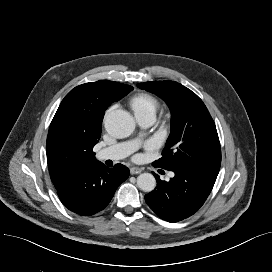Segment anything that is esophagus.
<instances>
[{"instance_id":"obj_1","label":"esophagus","mask_w":272,"mask_h":272,"mask_svg":"<svg viewBox=\"0 0 272 272\" xmlns=\"http://www.w3.org/2000/svg\"><path fill=\"white\" fill-rule=\"evenodd\" d=\"M142 172V169L138 168V167H131L130 168V173L132 175H135V174H140Z\"/></svg>"}]
</instances>
